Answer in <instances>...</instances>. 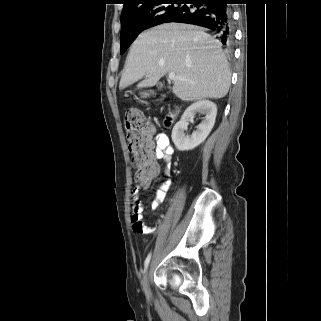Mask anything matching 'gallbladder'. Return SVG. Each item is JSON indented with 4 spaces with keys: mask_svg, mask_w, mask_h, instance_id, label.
I'll use <instances>...</instances> for the list:
<instances>
[{
    "mask_svg": "<svg viewBox=\"0 0 321 321\" xmlns=\"http://www.w3.org/2000/svg\"><path fill=\"white\" fill-rule=\"evenodd\" d=\"M157 87H158V89H161L163 87V84L162 83H158Z\"/></svg>",
    "mask_w": 321,
    "mask_h": 321,
    "instance_id": "1",
    "label": "gallbladder"
}]
</instances>
